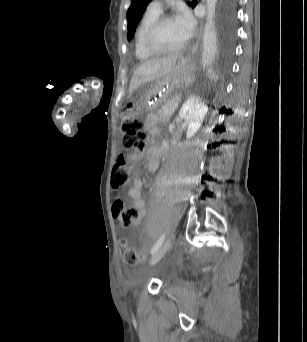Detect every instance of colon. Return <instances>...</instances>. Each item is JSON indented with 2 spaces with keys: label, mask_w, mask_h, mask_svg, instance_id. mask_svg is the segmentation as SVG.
Listing matches in <instances>:
<instances>
[{
  "label": "colon",
  "mask_w": 307,
  "mask_h": 342,
  "mask_svg": "<svg viewBox=\"0 0 307 342\" xmlns=\"http://www.w3.org/2000/svg\"><path fill=\"white\" fill-rule=\"evenodd\" d=\"M120 132L122 133L121 145L123 151L115 157L110 175V186L113 191L121 190L131 178L129 171L130 160L128 153L140 154L143 152L147 134L143 122L138 118L137 105L125 107L121 111ZM113 215L124 227H129L136 217V209L127 205L120 197H115L112 204ZM120 245L124 249V261L128 265L142 266L145 258L142 252L132 248L126 237L120 239Z\"/></svg>",
  "instance_id": "5ec220e1"
}]
</instances>
